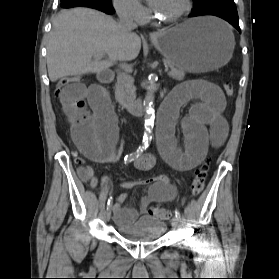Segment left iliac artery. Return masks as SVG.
Wrapping results in <instances>:
<instances>
[{"label":"left iliac artery","mask_w":279,"mask_h":279,"mask_svg":"<svg viewBox=\"0 0 279 279\" xmlns=\"http://www.w3.org/2000/svg\"><path fill=\"white\" fill-rule=\"evenodd\" d=\"M175 217L177 218L178 221L181 220V215H180V212L178 210L175 211Z\"/></svg>","instance_id":"1"}]
</instances>
